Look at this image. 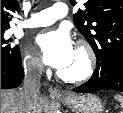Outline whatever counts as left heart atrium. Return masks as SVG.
<instances>
[{"label":"left heart atrium","mask_w":123,"mask_h":113,"mask_svg":"<svg viewBox=\"0 0 123 113\" xmlns=\"http://www.w3.org/2000/svg\"><path fill=\"white\" fill-rule=\"evenodd\" d=\"M36 44L44 62L57 69L68 65L75 53L71 37L65 29L51 30L38 35Z\"/></svg>","instance_id":"1"}]
</instances>
